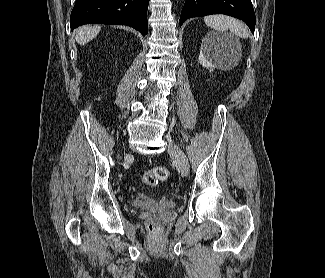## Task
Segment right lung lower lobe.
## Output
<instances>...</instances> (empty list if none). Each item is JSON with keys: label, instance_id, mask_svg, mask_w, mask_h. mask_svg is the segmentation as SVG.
<instances>
[{"label": "right lung lower lobe", "instance_id": "1", "mask_svg": "<svg viewBox=\"0 0 325 278\" xmlns=\"http://www.w3.org/2000/svg\"><path fill=\"white\" fill-rule=\"evenodd\" d=\"M149 0H76L71 12V29L84 24L127 25L142 35L148 32Z\"/></svg>", "mask_w": 325, "mask_h": 278}]
</instances>
